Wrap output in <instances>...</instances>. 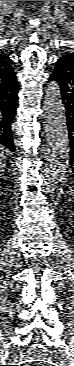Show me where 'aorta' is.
<instances>
[{
    "label": "aorta",
    "mask_w": 74,
    "mask_h": 366,
    "mask_svg": "<svg viewBox=\"0 0 74 366\" xmlns=\"http://www.w3.org/2000/svg\"><path fill=\"white\" fill-rule=\"evenodd\" d=\"M44 130L46 133V189L54 191L64 180L70 160L69 135L65 107L57 82L48 84L43 104Z\"/></svg>",
    "instance_id": "aorta-1"
}]
</instances>
